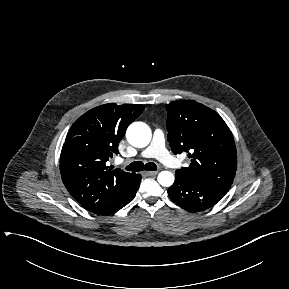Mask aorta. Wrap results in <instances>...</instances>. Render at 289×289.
I'll use <instances>...</instances> for the list:
<instances>
[{
	"label": "aorta",
	"instance_id": "aorta-1",
	"mask_svg": "<svg viewBox=\"0 0 289 289\" xmlns=\"http://www.w3.org/2000/svg\"><path fill=\"white\" fill-rule=\"evenodd\" d=\"M151 129L143 122L132 123L126 132L128 142L134 147H145L151 140ZM157 180L160 185L170 187L174 183V175L169 171L159 173Z\"/></svg>",
	"mask_w": 289,
	"mask_h": 289
}]
</instances>
